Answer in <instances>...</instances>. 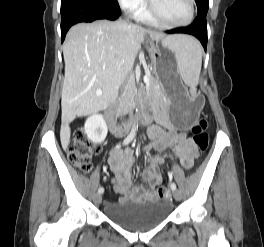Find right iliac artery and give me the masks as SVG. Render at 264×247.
<instances>
[{
  "label": "right iliac artery",
  "instance_id": "obj_1",
  "mask_svg": "<svg viewBox=\"0 0 264 247\" xmlns=\"http://www.w3.org/2000/svg\"><path fill=\"white\" fill-rule=\"evenodd\" d=\"M137 129H138V123H135L134 125H133V127H132V130H131V132H130V134L125 138V140L123 141V145H127V144H129L132 140H133V138L135 137V134H136V131H137ZM104 192V188L103 187H100L99 189H98V193H103Z\"/></svg>",
  "mask_w": 264,
  "mask_h": 247
}]
</instances>
